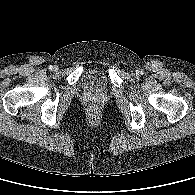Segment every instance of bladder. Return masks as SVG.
Listing matches in <instances>:
<instances>
[{"label": "bladder", "mask_w": 195, "mask_h": 195, "mask_svg": "<svg viewBox=\"0 0 195 195\" xmlns=\"http://www.w3.org/2000/svg\"><path fill=\"white\" fill-rule=\"evenodd\" d=\"M107 76L102 68L88 69L82 78L83 87L89 91L101 92L107 88Z\"/></svg>", "instance_id": "1"}]
</instances>
